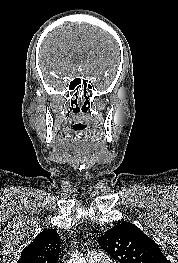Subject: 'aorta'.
I'll use <instances>...</instances> for the list:
<instances>
[{"label":"aorta","instance_id":"762f6f07","mask_svg":"<svg viewBox=\"0 0 178 263\" xmlns=\"http://www.w3.org/2000/svg\"><path fill=\"white\" fill-rule=\"evenodd\" d=\"M68 263H86L85 259L79 255V254H74L70 258Z\"/></svg>","mask_w":178,"mask_h":263}]
</instances>
